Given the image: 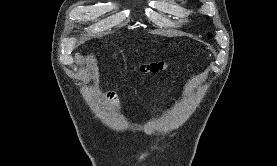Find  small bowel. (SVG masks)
Returning <instances> with one entry per match:
<instances>
[{"mask_svg": "<svg viewBox=\"0 0 277 166\" xmlns=\"http://www.w3.org/2000/svg\"><path fill=\"white\" fill-rule=\"evenodd\" d=\"M110 98L113 100V102H116V98L115 97H113V94L110 96Z\"/></svg>", "mask_w": 277, "mask_h": 166, "instance_id": "obj_1", "label": "small bowel"}]
</instances>
